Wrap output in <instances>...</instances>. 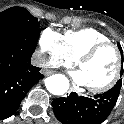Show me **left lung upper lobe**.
I'll use <instances>...</instances> for the list:
<instances>
[{"instance_id": "5c2ea615", "label": "left lung upper lobe", "mask_w": 124, "mask_h": 124, "mask_svg": "<svg viewBox=\"0 0 124 124\" xmlns=\"http://www.w3.org/2000/svg\"><path fill=\"white\" fill-rule=\"evenodd\" d=\"M117 45H118V48H119V50H120V52H121V56H122V59H123V50H122V47H121V45H120L119 43H117ZM121 74H122V73H121ZM121 84H122V80L120 79V80L117 82L116 86H119V87L121 88Z\"/></svg>"}]
</instances>
